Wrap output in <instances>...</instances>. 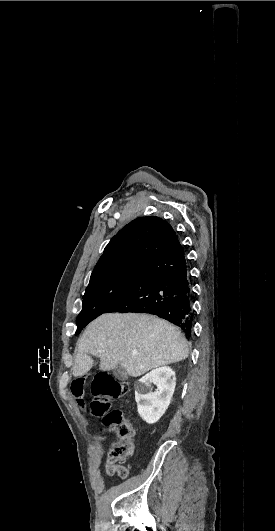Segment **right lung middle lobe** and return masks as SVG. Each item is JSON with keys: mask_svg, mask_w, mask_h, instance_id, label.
I'll list each match as a JSON object with an SVG mask.
<instances>
[{"mask_svg": "<svg viewBox=\"0 0 275 531\" xmlns=\"http://www.w3.org/2000/svg\"><path fill=\"white\" fill-rule=\"evenodd\" d=\"M146 265L131 266L106 274L89 282L82 301V310L77 317V330L105 313L138 280Z\"/></svg>", "mask_w": 275, "mask_h": 531, "instance_id": "dd1d6c3e", "label": "right lung middle lobe"}]
</instances>
